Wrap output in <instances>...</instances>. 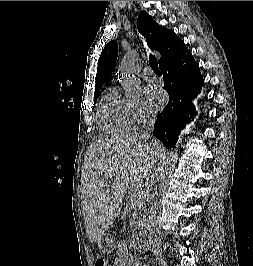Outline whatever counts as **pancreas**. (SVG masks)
<instances>
[{
    "mask_svg": "<svg viewBox=\"0 0 253 266\" xmlns=\"http://www.w3.org/2000/svg\"><path fill=\"white\" fill-rule=\"evenodd\" d=\"M140 192L137 191L136 194L131 190L128 194V200L126 203V213L130 217V223L136 224L138 217L140 216L139 206H140Z\"/></svg>",
    "mask_w": 253,
    "mask_h": 266,
    "instance_id": "1",
    "label": "pancreas"
}]
</instances>
